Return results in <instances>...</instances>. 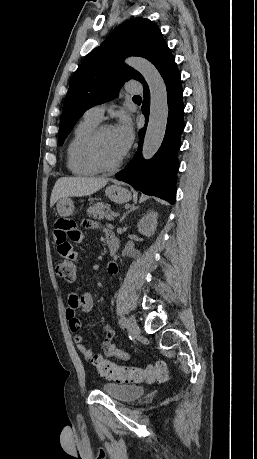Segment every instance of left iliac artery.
I'll return each instance as SVG.
<instances>
[{
	"instance_id": "obj_1",
	"label": "left iliac artery",
	"mask_w": 257,
	"mask_h": 459,
	"mask_svg": "<svg viewBox=\"0 0 257 459\" xmlns=\"http://www.w3.org/2000/svg\"><path fill=\"white\" fill-rule=\"evenodd\" d=\"M120 324L122 327L127 328L129 326V321L126 317H121Z\"/></svg>"
}]
</instances>
